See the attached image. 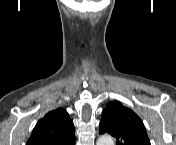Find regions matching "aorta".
<instances>
[{
	"label": "aorta",
	"mask_w": 176,
	"mask_h": 145,
	"mask_svg": "<svg viewBox=\"0 0 176 145\" xmlns=\"http://www.w3.org/2000/svg\"><path fill=\"white\" fill-rule=\"evenodd\" d=\"M97 145H114V141L110 135H102L97 140Z\"/></svg>",
	"instance_id": "1"
}]
</instances>
